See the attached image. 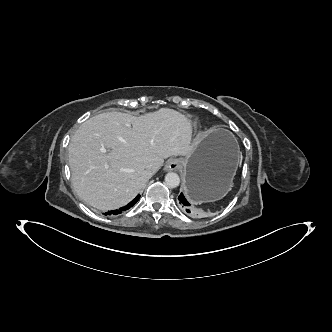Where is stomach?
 Returning a JSON list of instances; mask_svg holds the SVG:
<instances>
[{
	"instance_id": "stomach-1",
	"label": "stomach",
	"mask_w": 332,
	"mask_h": 332,
	"mask_svg": "<svg viewBox=\"0 0 332 332\" xmlns=\"http://www.w3.org/2000/svg\"><path fill=\"white\" fill-rule=\"evenodd\" d=\"M240 155L238 142L228 130L203 135L194 151L180 159L188 200L201 204L222 199L231 190Z\"/></svg>"
}]
</instances>
